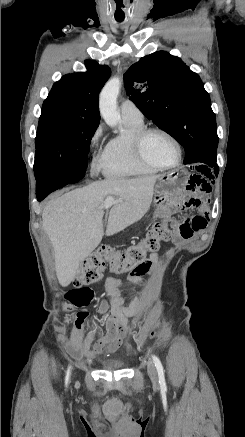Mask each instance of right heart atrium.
<instances>
[{
  "label": "right heart atrium",
  "instance_id": "1",
  "mask_svg": "<svg viewBox=\"0 0 245 437\" xmlns=\"http://www.w3.org/2000/svg\"><path fill=\"white\" fill-rule=\"evenodd\" d=\"M104 129L102 125H98L93 131L89 140V152L93 156V163L95 169L100 168L103 153L101 151V141L103 137Z\"/></svg>",
  "mask_w": 245,
  "mask_h": 437
}]
</instances>
